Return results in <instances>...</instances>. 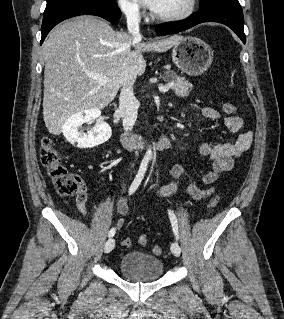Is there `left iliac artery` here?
<instances>
[{"instance_id":"44dca946","label":"left iliac artery","mask_w":284,"mask_h":319,"mask_svg":"<svg viewBox=\"0 0 284 319\" xmlns=\"http://www.w3.org/2000/svg\"><path fill=\"white\" fill-rule=\"evenodd\" d=\"M168 215L172 224V228H173V232L175 234L176 239L178 240L179 235H178V222H177V218L174 214L173 211L168 210Z\"/></svg>"}]
</instances>
